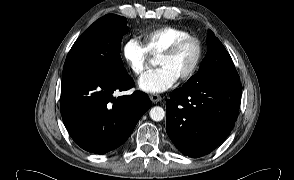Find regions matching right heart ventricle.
<instances>
[{
    "label": "right heart ventricle",
    "mask_w": 294,
    "mask_h": 180,
    "mask_svg": "<svg viewBox=\"0 0 294 180\" xmlns=\"http://www.w3.org/2000/svg\"><path fill=\"white\" fill-rule=\"evenodd\" d=\"M189 35V33L179 27L163 26L142 32L139 35L141 44L145 50L152 56H159L176 39Z\"/></svg>",
    "instance_id": "right-heart-ventricle-1"
}]
</instances>
